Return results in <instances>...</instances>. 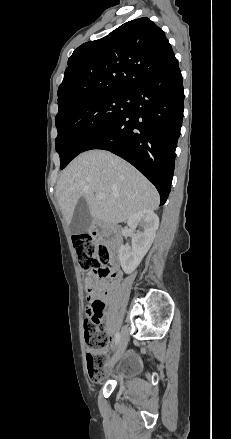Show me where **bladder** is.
Returning a JSON list of instances; mask_svg holds the SVG:
<instances>
[{
  "instance_id": "bladder-1",
  "label": "bladder",
  "mask_w": 231,
  "mask_h": 439,
  "mask_svg": "<svg viewBox=\"0 0 231 439\" xmlns=\"http://www.w3.org/2000/svg\"><path fill=\"white\" fill-rule=\"evenodd\" d=\"M141 361L139 358H130L125 367V374L129 377L137 376L141 371Z\"/></svg>"
}]
</instances>
